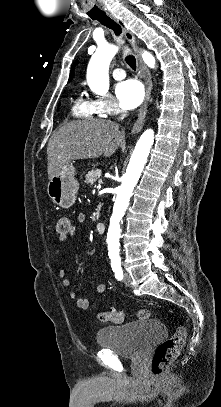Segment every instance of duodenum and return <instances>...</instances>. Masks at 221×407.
<instances>
[{"mask_svg":"<svg viewBox=\"0 0 221 407\" xmlns=\"http://www.w3.org/2000/svg\"><path fill=\"white\" fill-rule=\"evenodd\" d=\"M96 231H97V233H99V234L104 233V231H105V224H104L103 222H97V224H96Z\"/></svg>","mask_w":221,"mask_h":407,"instance_id":"duodenum-1","label":"duodenum"}]
</instances>
